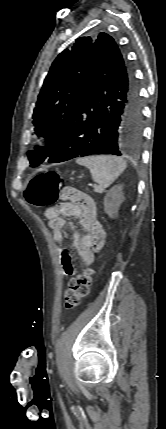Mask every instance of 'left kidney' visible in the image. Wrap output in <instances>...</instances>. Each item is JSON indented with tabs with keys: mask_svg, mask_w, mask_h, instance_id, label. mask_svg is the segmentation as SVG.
Masks as SVG:
<instances>
[{
	"mask_svg": "<svg viewBox=\"0 0 166 429\" xmlns=\"http://www.w3.org/2000/svg\"><path fill=\"white\" fill-rule=\"evenodd\" d=\"M123 186L116 185L112 187L104 197V211L110 218H115L119 207L124 201Z\"/></svg>",
	"mask_w": 166,
	"mask_h": 429,
	"instance_id": "obj_1",
	"label": "left kidney"
}]
</instances>
